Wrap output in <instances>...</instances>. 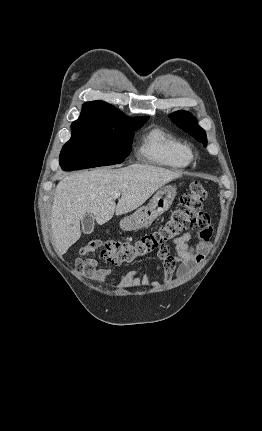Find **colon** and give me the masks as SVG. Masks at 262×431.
<instances>
[{"label": "colon", "mask_w": 262, "mask_h": 431, "mask_svg": "<svg viewBox=\"0 0 262 431\" xmlns=\"http://www.w3.org/2000/svg\"><path fill=\"white\" fill-rule=\"evenodd\" d=\"M206 197L207 190L202 184L195 182L181 196L169 219L157 230L133 241L97 239L82 245L75 259L77 270L80 273L90 272L92 266L84 257L95 254L116 264L131 263L152 253L167 255L170 242L190 226L207 220L206 214L201 212Z\"/></svg>", "instance_id": "1"}]
</instances>
